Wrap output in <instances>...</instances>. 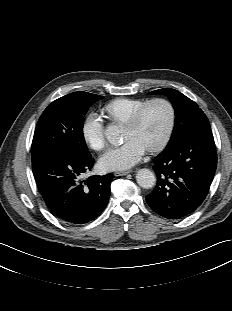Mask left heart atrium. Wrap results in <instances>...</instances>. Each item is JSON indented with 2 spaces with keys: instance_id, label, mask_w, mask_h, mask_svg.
I'll use <instances>...</instances> for the list:
<instances>
[{
  "instance_id": "1",
  "label": "left heart atrium",
  "mask_w": 232,
  "mask_h": 311,
  "mask_svg": "<svg viewBox=\"0 0 232 311\" xmlns=\"http://www.w3.org/2000/svg\"><path fill=\"white\" fill-rule=\"evenodd\" d=\"M147 148L136 139L127 141L120 147L113 148L100 158V165L105 170H125L136 165Z\"/></svg>"
}]
</instances>
